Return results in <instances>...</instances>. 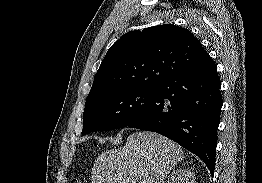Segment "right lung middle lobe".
Segmentation results:
<instances>
[{"label": "right lung middle lobe", "mask_w": 262, "mask_h": 183, "mask_svg": "<svg viewBox=\"0 0 262 183\" xmlns=\"http://www.w3.org/2000/svg\"><path fill=\"white\" fill-rule=\"evenodd\" d=\"M156 92L130 88L86 101L82 134L126 127L151 104Z\"/></svg>", "instance_id": "obj_1"}]
</instances>
